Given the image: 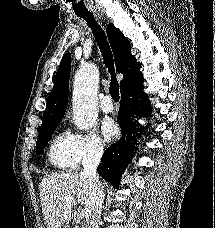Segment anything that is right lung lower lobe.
Returning <instances> with one entry per match:
<instances>
[{"label":"right lung lower lobe","instance_id":"98d812e1","mask_svg":"<svg viewBox=\"0 0 215 228\" xmlns=\"http://www.w3.org/2000/svg\"><path fill=\"white\" fill-rule=\"evenodd\" d=\"M143 75L129 78L121 89V101L118 112V123L122 129L121 140L112 144L103 154L98 173L114 188H118L121 175L134 156L136 134L142 130L135 117H147L152 107L143 92Z\"/></svg>","mask_w":215,"mask_h":228}]
</instances>
